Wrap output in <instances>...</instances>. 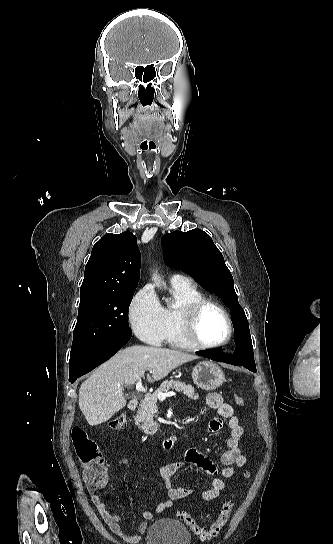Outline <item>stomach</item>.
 I'll use <instances>...</instances> for the list:
<instances>
[{
	"label": "stomach",
	"instance_id": "stomach-1",
	"mask_svg": "<svg viewBox=\"0 0 333 544\" xmlns=\"http://www.w3.org/2000/svg\"><path fill=\"white\" fill-rule=\"evenodd\" d=\"M192 379L199 388L211 391L223 384L225 376L217 364L203 361L193 368Z\"/></svg>",
	"mask_w": 333,
	"mask_h": 544
}]
</instances>
